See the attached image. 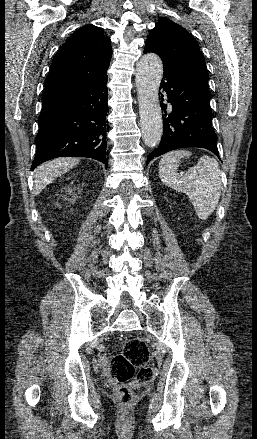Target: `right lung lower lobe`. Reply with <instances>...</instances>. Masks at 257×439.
<instances>
[{
	"mask_svg": "<svg viewBox=\"0 0 257 439\" xmlns=\"http://www.w3.org/2000/svg\"><path fill=\"white\" fill-rule=\"evenodd\" d=\"M108 76L43 99L33 171L56 157H89L108 165Z\"/></svg>",
	"mask_w": 257,
	"mask_h": 439,
	"instance_id": "98d812e1",
	"label": "right lung lower lobe"
}]
</instances>
